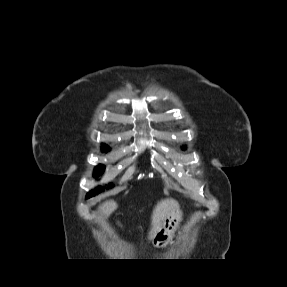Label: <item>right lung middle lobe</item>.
Segmentation results:
<instances>
[{
	"instance_id": "1",
	"label": "right lung middle lobe",
	"mask_w": 287,
	"mask_h": 287,
	"mask_svg": "<svg viewBox=\"0 0 287 287\" xmlns=\"http://www.w3.org/2000/svg\"><path fill=\"white\" fill-rule=\"evenodd\" d=\"M105 149H107V147L106 146H104V150ZM104 171V167L103 166H97L96 168H95V172H94V176L95 177H97V176H99V175H101V173ZM113 185H109L108 187H107V189L108 188H111ZM103 191V189L102 188H99V189H96V190H92V191H90L89 193H88V195H87V197L89 198V197H92V196H95L96 194H98V193H100V192H102Z\"/></svg>"
}]
</instances>
